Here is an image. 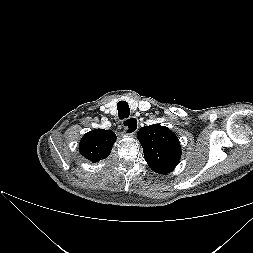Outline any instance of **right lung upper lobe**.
<instances>
[{"instance_id":"right-lung-upper-lobe-1","label":"right lung upper lobe","mask_w":253,"mask_h":253,"mask_svg":"<svg viewBox=\"0 0 253 253\" xmlns=\"http://www.w3.org/2000/svg\"><path fill=\"white\" fill-rule=\"evenodd\" d=\"M115 141L116 134L111 130L96 129L90 131L80 141V153L91 162H98L110 155Z\"/></svg>"}]
</instances>
